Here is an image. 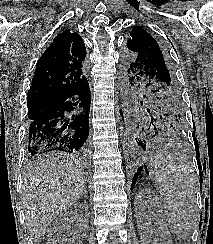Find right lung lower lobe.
Listing matches in <instances>:
<instances>
[{
    "label": "right lung lower lobe",
    "instance_id": "obj_1",
    "mask_svg": "<svg viewBox=\"0 0 213 244\" xmlns=\"http://www.w3.org/2000/svg\"><path fill=\"white\" fill-rule=\"evenodd\" d=\"M79 96L72 103L70 98ZM89 83L84 78L71 92L45 101L30 119L28 132V152L33 156L49 151H86L88 149ZM74 100V98H72ZM82 111L67 115L78 105Z\"/></svg>",
    "mask_w": 213,
    "mask_h": 244
}]
</instances>
